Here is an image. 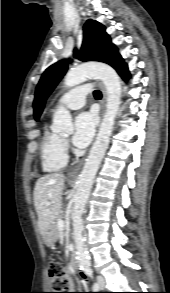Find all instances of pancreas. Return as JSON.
<instances>
[{"label": "pancreas", "mask_w": 170, "mask_h": 293, "mask_svg": "<svg viewBox=\"0 0 170 293\" xmlns=\"http://www.w3.org/2000/svg\"><path fill=\"white\" fill-rule=\"evenodd\" d=\"M63 218V214L60 212L59 214H58V216L56 217V219H55V221L52 223V225H51V231H52V233L55 235V236H57V234H58V221L60 220V219H62Z\"/></svg>", "instance_id": "cf45deb5"}]
</instances>
